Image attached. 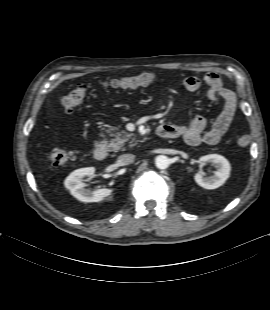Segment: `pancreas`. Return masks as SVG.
Wrapping results in <instances>:
<instances>
[{
	"label": "pancreas",
	"instance_id": "cf45deb5",
	"mask_svg": "<svg viewBox=\"0 0 270 310\" xmlns=\"http://www.w3.org/2000/svg\"><path fill=\"white\" fill-rule=\"evenodd\" d=\"M110 131V136L113 138L109 142H105L110 151H125L127 146L130 148L135 144V135L133 133L120 130V126L111 127Z\"/></svg>",
	"mask_w": 270,
	"mask_h": 310
}]
</instances>
